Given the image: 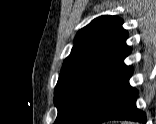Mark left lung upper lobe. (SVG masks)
<instances>
[{"label": "left lung upper lobe", "instance_id": "5c2ea615", "mask_svg": "<svg viewBox=\"0 0 156 124\" xmlns=\"http://www.w3.org/2000/svg\"><path fill=\"white\" fill-rule=\"evenodd\" d=\"M116 16H100L75 37L54 91V124H78L106 81L130 54L127 32Z\"/></svg>", "mask_w": 156, "mask_h": 124}]
</instances>
